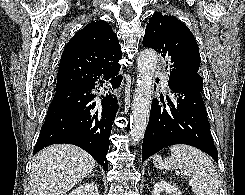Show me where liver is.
Instances as JSON below:
<instances>
[{
    "instance_id": "1",
    "label": "liver",
    "mask_w": 245,
    "mask_h": 195,
    "mask_svg": "<svg viewBox=\"0 0 245 195\" xmlns=\"http://www.w3.org/2000/svg\"><path fill=\"white\" fill-rule=\"evenodd\" d=\"M94 166L95 160L77 146H49L32 163L33 195H64L91 173Z\"/></svg>"
}]
</instances>
